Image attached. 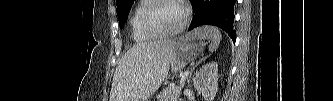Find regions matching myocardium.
Listing matches in <instances>:
<instances>
[{"mask_svg": "<svg viewBox=\"0 0 333 101\" xmlns=\"http://www.w3.org/2000/svg\"><path fill=\"white\" fill-rule=\"evenodd\" d=\"M165 2H172L178 5L182 10V20L180 24L173 30L164 32L158 30L153 22H152V12L153 10L160 4ZM189 21V11L186 8V6L183 4L182 1L177 0H153L150 1V3L147 5V7L144 9L142 16H141V24L145 32H147L149 35L155 37V38H162V37H171L178 33H180L188 24Z\"/></svg>", "mask_w": 333, "mask_h": 101, "instance_id": "obj_1", "label": "myocardium"}]
</instances>
